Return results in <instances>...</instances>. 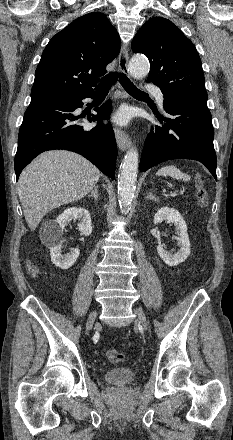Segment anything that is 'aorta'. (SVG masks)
<instances>
[{"label": "aorta", "instance_id": "obj_1", "mask_svg": "<svg viewBox=\"0 0 233 440\" xmlns=\"http://www.w3.org/2000/svg\"><path fill=\"white\" fill-rule=\"evenodd\" d=\"M149 61L144 55H135L129 62L130 74L135 79H141L149 73ZM139 154L135 147H131L126 153L118 179V197L120 208L127 212L132 205L135 185L137 181Z\"/></svg>", "mask_w": 233, "mask_h": 440}]
</instances>
